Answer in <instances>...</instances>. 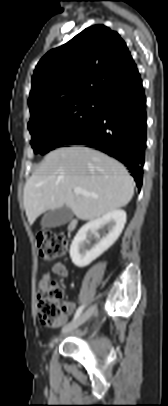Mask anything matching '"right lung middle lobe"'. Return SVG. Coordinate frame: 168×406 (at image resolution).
<instances>
[{"label": "right lung middle lobe", "instance_id": "dd1d6c3e", "mask_svg": "<svg viewBox=\"0 0 168 406\" xmlns=\"http://www.w3.org/2000/svg\"><path fill=\"white\" fill-rule=\"evenodd\" d=\"M98 99H88L28 124L34 153L45 154L80 135L96 118Z\"/></svg>", "mask_w": 168, "mask_h": 406}]
</instances>
